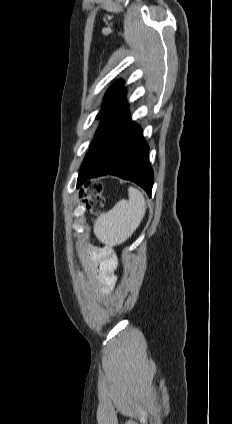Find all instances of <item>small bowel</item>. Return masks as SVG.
Returning a JSON list of instances; mask_svg holds the SVG:
<instances>
[{
	"label": "small bowel",
	"instance_id": "1",
	"mask_svg": "<svg viewBox=\"0 0 232 424\" xmlns=\"http://www.w3.org/2000/svg\"><path fill=\"white\" fill-rule=\"evenodd\" d=\"M87 254L91 257L92 264L90 266L91 274L96 277L103 285L101 293L107 292V289L112 287L115 283V277L111 273L110 258L105 257L104 259L97 258L92 252L87 251Z\"/></svg>",
	"mask_w": 232,
	"mask_h": 424
}]
</instances>
